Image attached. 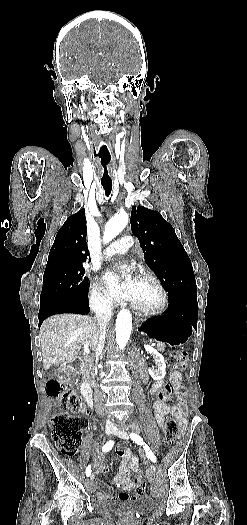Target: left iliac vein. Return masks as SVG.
Returning <instances> with one entry per match:
<instances>
[{
  "mask_svg": "<svg viewBox=\"0 0 247 525\" xmlns=\"http://www.w3.org/2000/svg\"><path fill=\"white\" fill-rule=\"evenodd\" d=\"M114 434L116 436H118L119 438H121V439L129 440V436L127 435V433H125L124 431H121L118 428L114 429ZM150 469H151L152 472H155L156 471V466L155 465H151Z\"/></svg>",
  "mask_w": 247,
  "mask_h": 525,
  "instance_id": "obj_1",
  "label": "left iliac vein"
}]
</instances>
